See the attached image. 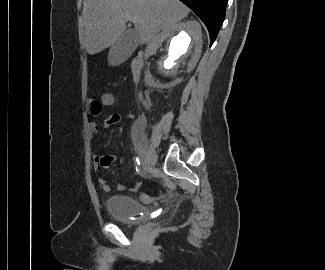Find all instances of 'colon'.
<instances>
[{
  "label": "colon",
  "instance_id": "obj_1",
  "mask_svg": "<svg viewBox=\"0 0 325 270\" xmlns=\"http://www.w3.org/2000/svg\"><path fill=\"white\" fill-rule=\"evenodd\" d=\"M101 102L105 107H110L115 103V95L112 92H104L101 96Z\"/></svg>",
  "mask_w": 325,
  "mask_h": 270
}]
</instances>
